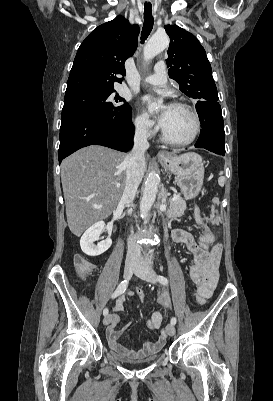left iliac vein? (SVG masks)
Masks as SVG:
<instances>
[{"label":"left iliac vein","mask_w":273,"mask_h":401,"mask_svg":"<svg viewBox=\"0 0 273 401\" xmlns=\"http://www.w3.org/2000/svg\"><path fill=\"white\" fill-rule=\"evenodd\" d=\"M135 275L140 277L143 280H146L150 283H156L157 279L155 276V272L151 268H143L141 265H138L136 270H135ZM166 332L168 333L169 336H174L175 335V327L173 324H168L166 326Z\"/></svg>","instance_id":"obj_1"}]
</instances>
